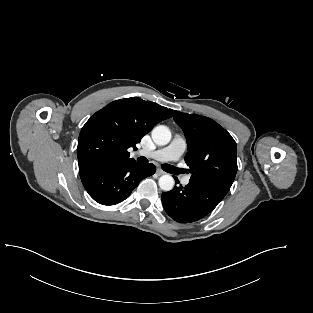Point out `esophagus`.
Instances as JSON below:
<instances>
[{
	"label": "esophagus",
	"instance_id": "obj_1",
	"mask_svg": "<svg viewBox=\"0 0 313 313\" xmlns=\"http://www.w3.org/2000/svg\"><path fill=\"white\" fill-rule=\"evenodd\" d=\"M156 173H157V175H159V176L166 174V173H165L163 170H161V169H157V170H156Z\"/></svg>",
	"mask_w": 313,
	"mask_h": 313
}]
</instances>
